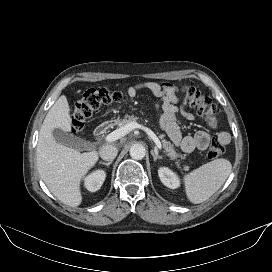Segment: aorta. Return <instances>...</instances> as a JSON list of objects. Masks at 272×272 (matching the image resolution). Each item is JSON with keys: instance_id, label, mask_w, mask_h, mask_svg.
Masks as SVG:
<instances>
[{"instance_id": "obj_1", "label": "aorta", "mask_w": 272, "mask_h": 272, "mask_svg": "<svg viewBox=\"0 0 272 272\" xmlns=\"http://www.w3.org/2000/svg\"><path fill=\"white\" fill-rule=\"evenodd\" d=\"M146 150L141 144H134L130 147V156L135 160H141L145 157Z\"/></svg>"}]
</instances>
